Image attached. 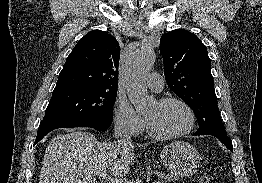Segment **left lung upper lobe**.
Returning <instances> with one entry per match:
<instances>
[{"instance_id":"5c2ea615","label":"left lung upper lobe","mask_w":262,"mask_h":183,"mask_svg":"<svg viewBox=\"0 0 262 183\" xmlns=\"http://www.w3.org/2000/svg\"><path fill=\"white\" fill-rule=\"evenodd\" d=\"M160 53L168 86L196 115L199 128L194 135H227L220 118L206 46L194 33L177 29L161 37Z\"/></svg>"}]
</instances>
